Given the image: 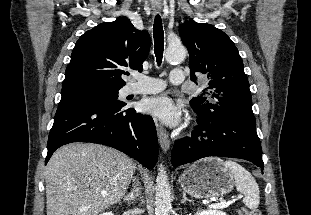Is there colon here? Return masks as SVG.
I'll return each instance as SVG.
<instances>
[{
    "label": "colon",
    "instance_id": "1",
    "mask_svg": "<svg viewBox=\"0 0 311 215\" xmlns=\"http://www.w3.org/2000/svg\"><path fill=\"white\" fill-rule=\"evenodd\" d=\"M239 215H263L259 210L242 208Z\"/></svg>",
    "mask_w": 311,
    "mask_h": 215
}]
</instances>
